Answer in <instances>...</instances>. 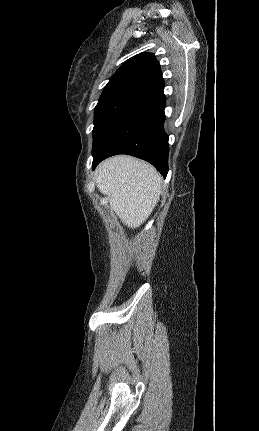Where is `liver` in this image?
<instances>
[{
	"mask_svg": "<svg viewBox=\"0 0 259 431\" xmlns=\"http://www.w3.org/2000/svg\"><path fill=\"white\" fill-rule=\"evenodd\" d=\"M96 185L109 197L110 208L121 221L137 228L159 201L162 178L150 164L120 155L106 159L97 167Z\"/></svg>",
	"mask_w": 259,
	"mask_h": 431,
	"instance_id": "obj_1",
	"label": "liver"
}]
</instances>
